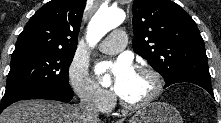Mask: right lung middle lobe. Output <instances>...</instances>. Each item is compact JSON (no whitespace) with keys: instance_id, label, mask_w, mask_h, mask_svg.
Masks as SVG:
<instances>
[{"instance_id":"dd1d6c3e","label":"right lung middle lobe","mask_w":221,"mask_h":123,"mask_svg":"<svg viewBox=\"0 0 221 123\" xmlns=\"http://www.w3.org/2000/svg\"><path fill=\"white\" fill-rule=\"evenodd\" d=\"M74 53L43 49L14 51L2 101L18 93L35 96L52 88L70 89L68 68Z\"/></svg>"}]
</instances>
